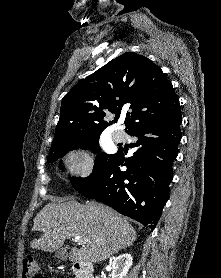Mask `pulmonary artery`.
Returning a JSON list of instances; mask_svg holds the SVG:
<instances>
[{"instance_id":"pulmonary-artery-1","label":"pulmonary artery","mask_w":221,"mask_h":278,"mask_svg":"<svg viewBox=\"0 0 221 278\" xmlns=\"http://www.w3.org/2000/svg\"><path fill=\"white\" fill-rule=\"evenodd\" d=\"M112 138L115 142H122L124 140V133L123 131H114L112 134Z\"/></svg>"}]
</instances>
